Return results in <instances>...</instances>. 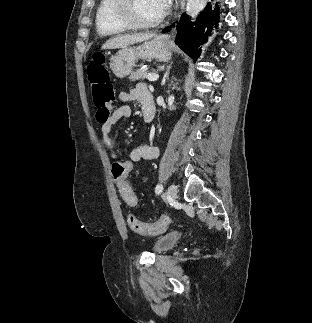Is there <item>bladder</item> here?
<instances>
[{"instance_id": "31cf9c89", "label": "bladder", "mask_w": 312, "mask_h": 323, "mask_svg": "<svg viewBox=\"0 0 312 323\" xmlns=\"http://www.w3.org/2000/svg\"><path fill=\"white\" fill-rule=\"evenodd\" d=\"M178 235L176 233H167L158 237L153 241V249L155 253L166 252L171 249L177 242Z\"/></svg>"}]
</instances>
